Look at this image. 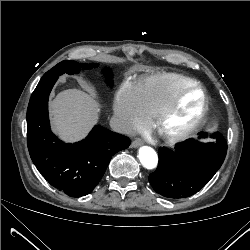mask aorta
I'll return each mask as SVG.
<instances>
[{
    "mask_svg": "<svg viewBox=\"0 0 250 250\" xmlns=\"http://www.w3.org/2000/svg\"><path fill=\"white\" fill-rule=\"evenodd\" d=\"M139 160L141 164L146 169H153L158 164V156L155 152V150L148 146H143L139 149L138 154Z\"/></svg>",
    "mask_w": 250,
    "mask_h": 250,
    "instance_id": "1",
    "label": "aorta"
}]
</instances>
